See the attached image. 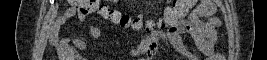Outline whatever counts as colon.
I'll use <instances>...</instances> for the list:
<instances>
[{"label": "colon", "instance_id": "5ec220e1", "mask_svg": "<svg viewBox=\"0 0 267 60\" xmlns=\"http://www.w3.org/2000/svg\"><path fill=\"white\" fill-rule=\"evenodd\" d=\"M79 12L88 15H97L121 27H140V23L133 21L128 15L100 0H75L73 1ZM190 6V0H176L172 7L165 10L157 24L160 27H174L186 14Z\"/></svg>", "mask_w": 267, "mask_h": 60}]
</instances>
